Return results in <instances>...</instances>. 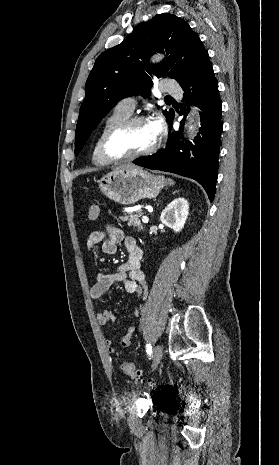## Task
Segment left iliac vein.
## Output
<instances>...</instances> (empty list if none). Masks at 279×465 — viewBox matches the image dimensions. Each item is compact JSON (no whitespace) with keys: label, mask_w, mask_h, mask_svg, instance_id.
Masks as SVG:
<instances>
[{"label":"left iliac vein","mask_w":279,"mask_h":465,"mask_svg":"<svg viewBox=\"0 0 279 465\" xmlns=\"http://www.w3.org/2000/svg\"><path fill=\"white\" fill-rule=\"evenodd\" d=\"M162 356H163L162 347L160 345H157L154 348V368H156L158 366V364L160 363V361L162 359Z\"/></svg>","instance_id":"left-iliac-vein-1"}]
</instances>
